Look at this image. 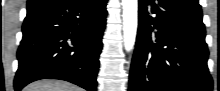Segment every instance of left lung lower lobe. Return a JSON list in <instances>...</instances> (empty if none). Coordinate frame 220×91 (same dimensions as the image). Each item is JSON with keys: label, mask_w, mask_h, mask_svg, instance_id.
Returning a JSON list of instances; mask_svg holds the SVG:
<instances>
[{"label": "left lung lower lobe", "mask_w": 220, "mask_h": 91, "mask_svg": "<svg viewBox=\"0 0 220 91\" xmlns=\"http://www.w3.org/2000/svg\"><path fill=\"white\" fill-rule=\"evenodd\" d=\"M129 91H212L202 10L194 0H139Z\"/></svg>", "instance_id": "0a47b994"}]
</instances>
